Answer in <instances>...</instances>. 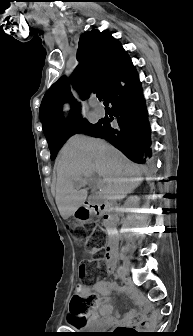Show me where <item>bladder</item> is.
Wrapping results in <instances>:
<instances>
[{
	"label": "bladder",
	"mask_w": 193,
	"mask_h": 336,
	"mask_svg": "<svg viewBox=\"0 0 193 336\" xmlns=\"http://www.w3.org/2000/svg\"><path fill=\"white\" fill-rule=\"evenodd\" d=\"M85 330H102L105 328L101 321H92L82 326Z\"/></svg>",
	"instance_id": "31cf9c89"
}]
</instances>
